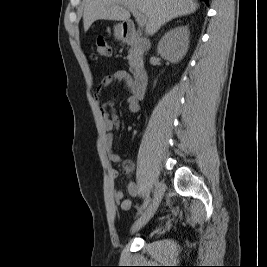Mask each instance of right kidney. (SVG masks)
I'll return each instance as SVG.
<instances>
[{
  "label": "right kidney",
  "mask_w": 267,
  "mask_h": 267,
  "mask_svg": "<svg viewBox=\"0 0 267 267\" xmlns=\"http://www.w3.org/2000/svg\"><path fill=\"white\" fill-rule=\"evenodd\" d=\"M189 35L188 26L170 29L158 43V54L171 63H178L188 51Z\"/></svg>",
  "instance_id": "right-kidney-1"
}]
</instances>
